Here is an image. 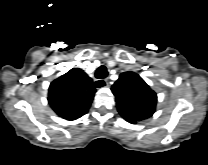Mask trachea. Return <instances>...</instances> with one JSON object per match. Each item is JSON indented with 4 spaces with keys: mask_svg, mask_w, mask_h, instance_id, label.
<instances>
[{
    "mask_svg": "<svg viewBox=\"0 0 208 165\" xmlns=\"http://www.w3.org/2000/svg\"><path fill=\"white\" fill-rule=\"evenodd\" d=\"M108 71L105 66H100L95 73L96 78L103 79L107 76ZM96 87H101V85L96 84Z\"/></svg>",
    "mask_w": 208,
    "mask_h": 165,
    "instance_id": "trachea-1",
    "label": "trachea"
}]
</instances>
